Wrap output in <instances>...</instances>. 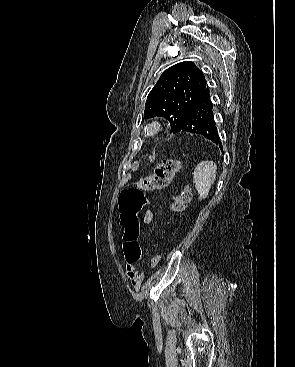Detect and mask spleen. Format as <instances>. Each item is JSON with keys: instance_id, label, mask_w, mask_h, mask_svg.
I'll list each match as a JSON object with an SVG mask.
<instances>
[{"instance_id": "obj_1", "label": "spleen", "mask_w": 295, "mask_h": 367, "mask_svg": "<svg viewBox=\"0 0 295 367\" xmlns=\"http://www.w3.org/2000/svg\"><path fill=\"white\" fill-rule=\"evenodd\" d=\"M217 167L213 161H201L194 170V184L201 199L209 195L211 185L216 179Z\"/></svg>"}]
</instances>
